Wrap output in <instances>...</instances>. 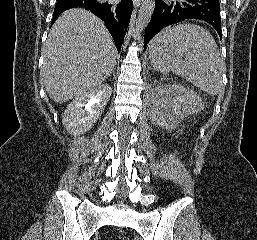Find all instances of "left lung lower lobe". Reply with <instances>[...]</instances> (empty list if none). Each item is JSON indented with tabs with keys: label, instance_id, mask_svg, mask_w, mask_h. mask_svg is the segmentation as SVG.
I'll list each match as a JSON object with an SVG mask.
<instances>
[{
	"label": "left lung lower lobe",
	"instance_id": "0a47b994",
	"mask_svg": "<svg viewBox=\"0 0 257 240\" xmlns=\"http://www.w3.org/2000/svg\"><path fill=\"white\" fill-rule=\"evenodd\" d=\"M189 19L208 23L222 38L219 0H156L145 31L144 48L161 29Z\"/></svg>",
	"mask_w": 257,
	"mask_h": 240
}]
</instances>
